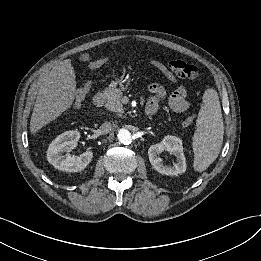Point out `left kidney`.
I'll use <instances>...</instances> for the list:
<instances>
[{"instance_id":"obj_1","label":"left kidney","mask_w":261,"mask_h":261,"mask_svg":"<svg viewBox=\"0 0 261 261\" xmlns=\"http://www.w3.org/2000/svg\"><path fill=\"white\" fill-rule=\"evenodd\" d=\"M164 150L177 158V163H174L172 167L164 166L159 157V154ZM148 156L153 168L161 174L178 175L186 171L182 140L176 136L167 135L159 144L151 145L148 149Z\"/></svg>"}]
</instances>
